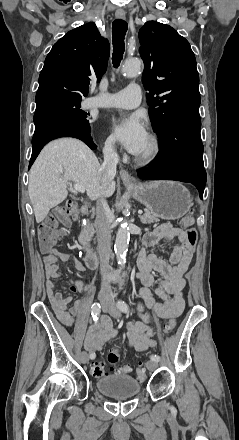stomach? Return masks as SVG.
Here are the masks:
<instances>
[{"mask_svg":"<svg viewBox=\"0 0 239 440\" xmlns=\"http://www.w3.org/2000/svg\"><path fill=\"white\" fill-rule=\"evenodd\" d=\"M127 190L162 220H179L193 206L189 190L179 182H139L137 188Z\"/></svg>","mask_w":239,"mask_h":440,"instance_id":"0dacf381","label":"stomach"}]
</instances>
